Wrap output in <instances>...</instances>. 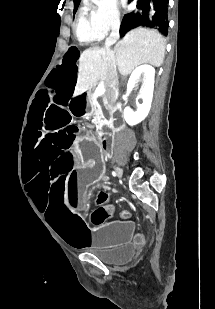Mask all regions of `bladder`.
Instances as JSON below:
<instances>
[{
  "mask_svg": "<svg viewBox=\"0 0 215 309\" xmlns=\"http://www.w3.org/2000/svg\"><path fill=\"white\" fill-rule=\"evenodd\" d=\"M136 253L135 246L126 244L114 252L99 254L98 257L105 263L111 265H123L130 262Z\"/></svg>",
  "mask_w": 215,
  "mask_h": 309,
  "instance_id": "31cf9c89",
  "label": "bladder"
}]
</instances>
